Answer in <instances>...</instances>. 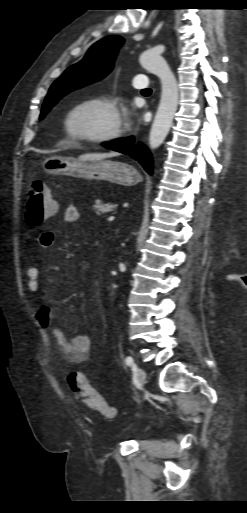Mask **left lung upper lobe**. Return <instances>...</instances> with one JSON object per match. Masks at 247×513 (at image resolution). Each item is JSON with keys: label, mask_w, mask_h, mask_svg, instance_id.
<instances>
[{"label": "left lung upper lobe", "mask_w": 247, "mask_h": 513, "mask_svg": "<svg viewBox=\"0 0 247 513\" xmlns=\"http://www.w3.org/2000/svg\"><path fill=\"white\" fill-rule=\"evenodd\" d=\"M124 39L110 35L91 46L85 57L69 67L50 87L42 106L40 120L66 94L104 78L113 68V62Z\"/></svg>", "instance_id": "left-lung-upper-lobe-1"}]
</instances>
